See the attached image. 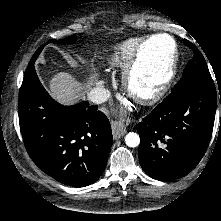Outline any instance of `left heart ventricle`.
I'll return each mask as SVG.
<instances>
[{"mask_svg":"<svg viewBox=\"0 0 221 221\" xmlns=\"http://www.w3.org/2000/svg\"><path fill=\"white\" fill-rule=\"evenodd\" d=\"M171 49L172 44L168 38L153 39L146 48L138 80L151 81L159 78Z\"/></svg>","mask_w":221,"mask_h":221,"instance_id":"b2bd125f","label":"left heart ventricle"}]
</instances>
